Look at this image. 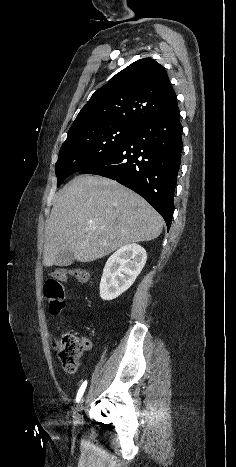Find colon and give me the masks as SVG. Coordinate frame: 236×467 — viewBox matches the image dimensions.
Listing matches in <instances>:
<instances>
[{
	"instance_id": "obj_1",
	"label": "colon",
	"mask_w": 236,
	"mask_h": 467,
	"mask_svg": "<svg viewBox=\"0 0 236 467\" xmlns=\"http://www.w3.org/2000/svg\"><path fill=\"white\" fill-rule=\"evenodd\" d=\"M69 277L79 283L88 280V271L85 268H57L44 286V293L48 300L49 312L59 314L65 308V294L62 282ZM59 361L67 372H75L79 366L80 358L85 351L86 339L79 338L73 333L65 332L56 341Z\"/></svg>"
}]
</instances>
